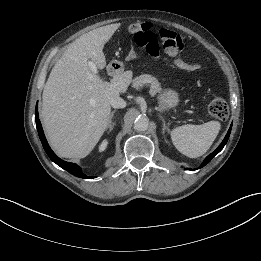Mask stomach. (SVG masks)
Here are the masks:
<instances>
[{"mask_svg": "<svg viewBox=\"0 0 261 261\" xmlns=\"http://www.w3.org/2000/svg\"><path fill=\"white\" fill-rule=\"evenodd\" d=\"M118 65H120L118 62L113 61L110 66L116 68ZM120 67V66H119ZM122 68V67H121ZM159 99V109L161 111L167 110L170 108H174L179 103V95L178 93L173 89H164L161 90L160 95L158 97Z\"/></svg>", "mask_w": 261, "mask_h": 261, "instance_id": "0dacf381", "label": "stomach"}]
</instances>
